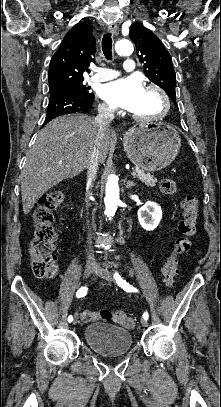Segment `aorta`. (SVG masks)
Returning <instances> with one entry per match:
<instances>
[{"label":"aorta","instance_id":"obj_1","mask_svg":"<svg viewBox=\"0 0 221 407\" xmlns=\"http://www.w3.org/2000/svg\"><path fill=\"white\" fill-rule=\"evenodd\" d=\"M115 50L119 55H129L133 52V44L130 40L123 39L116 43ZM105 215L113 217L119 204L118 180L114 175L108 177L105 188Z\"/></svg>","mask_w":221,"mask_h":407}]
</instances>
